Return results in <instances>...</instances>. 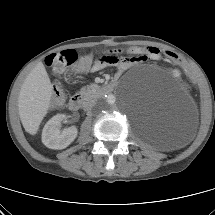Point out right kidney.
<instances>
[{"label":"right kidney","mask_w":215,"mask_h":215,"mask_svg":"<svg viewBox=\"0 0 215 215\" xmlns=\"http://www.w3.org/2000/svg\"><path fill=\"white\" fill-rule=\"evenodd\" d=\"M65 118L64 114H58L45 124L42 131V142L46 147L64 149L77 137L78 130L74 126L60 130L61 123Z\"/></svg>","instance_id":"right-kidney-1"}]
</instances>
